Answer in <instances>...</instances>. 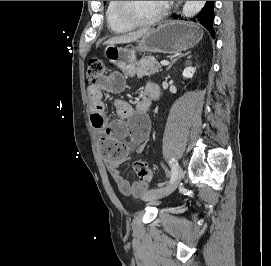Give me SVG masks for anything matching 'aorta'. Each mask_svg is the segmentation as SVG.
<instances>
[{
	"instance_id": "obj_1",
	"label": "aorta",
	"mask_w": 271,
	"mask_h": 266,
	"mask_svg": "<svg viewBox=\"0 0 271 266\" xmlns=\"http://www.w3.org/2000/svg\"><path fill=\"white\" fill-rule=\"evenodd\" d=\"M205 3L206 1H186L182 9V15L184 17L195 16L201 11Z\"/></svg>"
}]
</instances>
